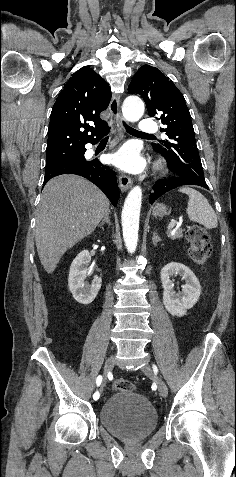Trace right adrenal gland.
<instances>
[{
	"label": "right adrenal gland",
	"instance_id": "2a0ac1e0",
	"mask_svg": "<svg viewBox=\"0 0 236 477\" xmlns=\"http://www.w3.org/2000/svg\"><path fill=\"white\" fill-rule=\"evenodd\" d=\"M104 223H107L109 226L111 225V222H110V211L105 215L104 219L102 220V222L99 224V227H102L104 225Z\"/></svg>",
	"mask_w": 236,
	"mask_h": 477
}]
</instances>
